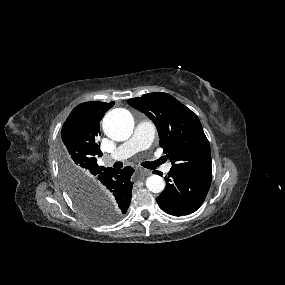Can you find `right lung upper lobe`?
I'll use <instances>...</instances> for the list:
<instances>
[{
	"label": "right lung upper lobe",
	"mask_w": 285,
	"mask_h": 285,
	"mask_svg": "<svg viewBox=\"0 0 285 285\" xmlns=\"http://www.w3.org/2000/svg\"><path fill=\"white\" fill-rule=\"evenodd\" d=\"M113 105L114 102L82 103L72 110L63 125L60 151L83 184L91 183L97 175L109 169L97 164V157L103 154L97 140L100 132L99 122Z\"/></svg>",
	"instance_id": "cb5924a9"
}]
</instances>
